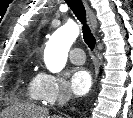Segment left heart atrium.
Returning a JSON list of instances; mask_svg holds the SVG:
<instances>
[{
	"label": "left heart atrium",
	"mask_w": 133,
	"mask_h": 118,
	"mask_svg": "<svg viewBox=\"0 0 133 118\" xmlns=\"http://www.w3.org/2000/svg\"><path fill=\"white\" fill-rule=\"evenodd\" d=\"M92 86V77L88 70L77 68L73 71L70 79L72 92L77 96L85 95Z\"/></svg>",
	"instance_id": "39dd6f15"
}]
</instances>
